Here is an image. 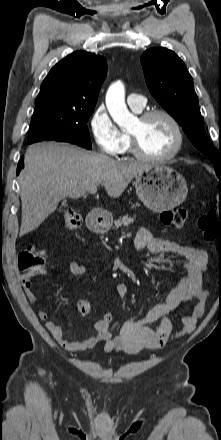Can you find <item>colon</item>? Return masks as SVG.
<instances>
[{"label": "colon", "mask_w": 221, "mask_h": 440, "mask_svg": "<svg viewBox=\"0 0 221 440\" xmlns=\"http://www.w3.org/2000/svg\"><path fill=\"white\" fill-rule=\"evenodd\" d=\"M160 219L167 226L182 228L187 224L188 211L180 207L167 209L161 212ZM63 223L66 230L73 231L82 225V218L77 212L67 210L64 213ZM199 228L203 232L205 239L209 242H214L220 238L221 223L211 214H207L199 220ZM18 266L27 273L38 272L44 267V258L32 247H27L19 253ZM77 309L81 315H87L91 310L90 302L85 299L78 301ZM102 319L104 321H113V312H104Z\"/></svg>", "instance_id": "colon-1"}]
</instances>
